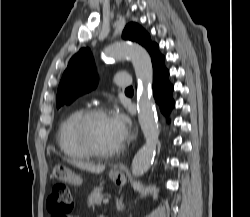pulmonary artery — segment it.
<instances>
[{"instance_id": "pulmonary-artery-1", "label": "pulmonary artery", "mask_w": 250, "mask_h": 217, "mask_svg": "<svg viewBox=\"0 0 250 217\" xmlns=\"http://www.w3.org/2000/svg\"><path fill=\"white\" fill-rule=\"evenodd\" d=\"M114 83L119 88H126L130 85L131 79L126 73H117L114 76Z\"/></svg>"}]
</instances>
